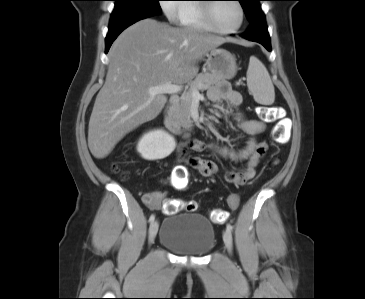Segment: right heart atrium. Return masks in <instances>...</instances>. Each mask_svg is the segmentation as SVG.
I'll use <instances>...</instances> for the list:
<instances>
[{"label":"right heart atrium","mask_w":365,"mask_h":299,"mask_svg":"<svg viewBox=\"0 0 365 299\" xmlns=\"http://www.w3.org/2000/svg\"><path fill=\"white\" fill-rule=\"evenodd\" d=\"M178 2L177 0H161L160 5L167 16V18L171 21L179 20V15L181 12V8L178 4L174 3Z\"/></svg>","instance_id":"1"}]
</instances>
